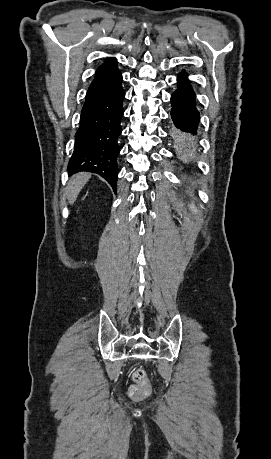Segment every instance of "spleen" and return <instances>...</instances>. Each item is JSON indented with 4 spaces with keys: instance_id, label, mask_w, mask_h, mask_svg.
I'll list each match as a JSON object with an SVG mask.
<instances>
[{
    "instance_id": "spleen-1",
    "label": "spleen",
    "mask_w": 271,
    "mask_h": 459,
    "mask_svg": "<svg viewBox=\"0 0 271 459\" xmlns=\"http://www.w3.org/2000/svg\"><path fill=\"white\" fill-rule=\"evenodd\" d=\"M191 212H197V210H195V208H193V206H191Z\"/></svg>"
}]
</instances>
